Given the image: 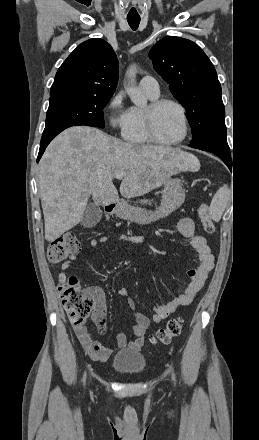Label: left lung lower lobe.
<instances>
[{
  "label": "left lung lower lobe",
  "mask_w": 259,
  "mask_h": 440,
  "mask_svg": "<svg viewBox=\"0 0 259 440\" xmlns=\"http://www.w3.org/2000/svg\"><path fill=\"white\" fill-rule=\"evenodd\" d=\"M190 147L200 149L203 151L211 152L220 157L223 162L230 168L232 161L230 155V149L227 143L226 137H211L195 144H191Z\"/></svg>",
  "instance_id": "1"
}]
</instances>
